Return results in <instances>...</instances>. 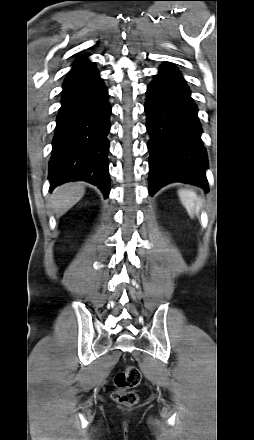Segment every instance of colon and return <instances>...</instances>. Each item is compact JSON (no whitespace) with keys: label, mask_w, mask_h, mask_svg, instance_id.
I'll list each match as a JSON object with an SVG mask.
<instances>
[{"label":"colon","mask_w":254,"mask_h":440,"mask_svg":"<svg viewBox=\"0 0 254 440\" xmlns=\"http://www.w3.org/2000/svg\"><path fill=\"white\" fill-rule=\"evenodd\" d=\"M141 380V373L135 366H127L119 371L114 377L115 389L112 393L114 401L132 406L138 402V395L132 389L136 387Z\"/></svg>","instance_id":"5ec220e1"}]
</instances>
